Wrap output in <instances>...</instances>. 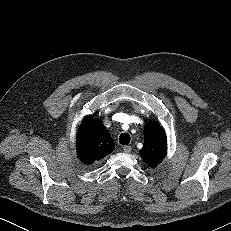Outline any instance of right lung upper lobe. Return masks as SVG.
Segmentation results:
<instances>
[{"instance_id": "right-lung-upper-lobe-1", "label": "right lung upper lobe", "mask_w": 231, "mask_h": 231, "mask_svg": "<svg viewBox=\"0 0 231 231\" xmlns=\"http://www.w3.org/2000/svg\"><path fill=\"white\" fill-rule=\"evenodd\" d=\"M77 157L84 164H92L112 153L114 141L103 122L86 116L77 131Z\"/></svg>"}]
</instances>
